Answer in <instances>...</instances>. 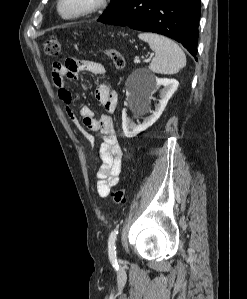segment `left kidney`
<instances>
[{
    "mask_svg": "<svg viewBox=\"0 0 247 299\" xmlns=\"http://www.w3.org/2000/svg\"><path fill=\"white\" fill-rule=\"evenodd\" d=\"M179 82L176 79L155 78L151 81L150 87L144 94L138 92L127 93V103L137 114L145 113L149 108L150 95L159 87L164 88L160 91L161 99L155 107L152 116L146 118L142 124L136 125L126 115L122 114V129L127 138L135 137L140 132L152 126L163 113L169 99L177 90Z\"/></svg>",
    "mask_w": 247,
    "mask_h": 299,
    "instance_id": "5707ae66",
    "label": "left kidney"
}]
</instances>
